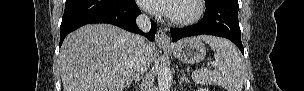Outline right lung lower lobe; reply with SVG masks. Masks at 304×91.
<instances>
[{
	"instance_id": "right-lung-lower-lobe-1",
	"label": "right lung lower lobe",
	"mask_w": 304,
	"mask_h": 91,
	"mask_svg": "<svg viewBox=\"0 0 304 91\" xmlns=\"http://www.w3.org/2000/svg\"><path fill=\"white\" fill-rule=\"evenodd\" d=\"M140 10L134 0H66L60 26V46L67 34L89 23H110L127 31L144 34L136 25ZM152 23L149 33L152 41L157 25Z\"/></svg>"
}]
</instances>
